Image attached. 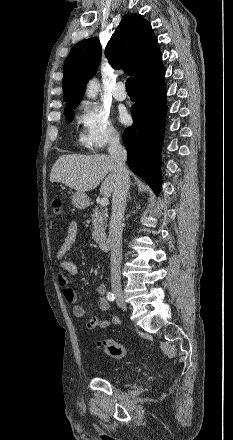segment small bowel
<instances>
[{
    "label": "small bowel",
    "instance_id": "obj_1",
    "mask_svg": "<svg viewBox=\"0 0 233 440\" xmlns=\"http://www.w3.org/2000/svg\"><path fill=\"white\" fill-rule=\"evenodd\" d=\"M77 232L78 226L75 220H71L68 223L66 234L64 240L59 247L58 251L55 255V260L58 264V274H57V282L60 287L63 288V296L65 301L72 306L73 315L77 318H82L86 315V308L82 305L78 304V296L77 293L70 286L69 280L64 274V272L68 273L71 276L78 275V267L77 265L67 260L66 254L73 247L77 240ZM96 292L99 294L98 306L101 312H105L109 309L110 303L107 299V289L103 283H98L96 285ZM120 324V319L116 315H112L109 319H103L99 315H95L91 317L86 322V328L89 330H94L96 328L105 329L109 326H117Z\"/></svg>",
    "mask_w": 233,
    "mask_h": 440
}]
</instances>
